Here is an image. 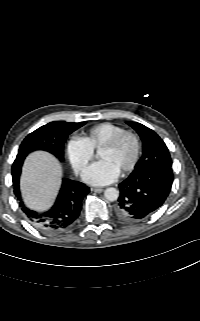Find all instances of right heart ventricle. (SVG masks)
<instances>
[{
	"instance_id": "right-heart-ventricle-1",
	"label": "right heart ventricle",
	"mask_w": 200,
	"mask_h": 321,
	"mask_svg": "<svg viewBox=\"0 0 200 321\" xmlns=\"http://www.w3.org/2000/svg\"><path fill=\"white\" fill-rule=\"evenodd\" d=\"M124 127L110 123L103 122L92 126L82 137L90 148L94 151L99 149L105 142L111 139L116 134L124 131Z\"/></svg>"
}]
</instances>
